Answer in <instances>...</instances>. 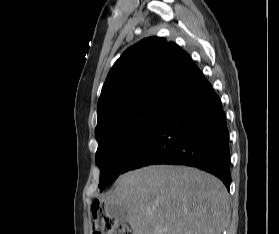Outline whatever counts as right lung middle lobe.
<instances>
[{"instance_id":"1","label":"right lung middle lobe","mask_w":279,"mask_h":234,"mask_svg":"<svg viewBox=\"0 0 279 234\" xmlns=\"http://www.w3.org/2000/svg\"><path fill=\"white\" fill-rule=\"evenodd\" d=\"M167 107L146 106L120 114L95 132L98 141L96 163L102 190L123 172V168L149 135Z\"/></svg>"}]
</instances>
